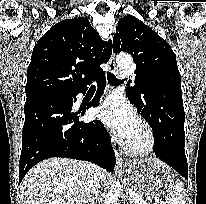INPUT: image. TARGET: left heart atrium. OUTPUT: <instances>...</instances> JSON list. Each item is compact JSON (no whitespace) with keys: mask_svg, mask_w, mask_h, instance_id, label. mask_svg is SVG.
Masks as SVG:
<instances>
[{"mask_svg":"<svg viewBox=\"0 0 206 204\" xmlns=\"http://www.w3.org/2000/svg\"><path fill=\"white\" fill-rule=\"evenodd\" d=\"M97 117L125 139L131 136L137 124L134 109L118 94L109 96L99 106Z\"/></svg>","mask_w":206,"mask_h":204,"instance_id":"obj_1","label":"left heart atrium"}]
</instances>
